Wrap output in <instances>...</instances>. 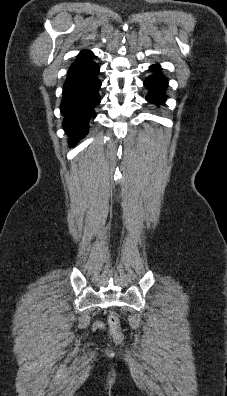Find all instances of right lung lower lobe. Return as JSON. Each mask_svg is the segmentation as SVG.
Returning <instances> with one entry per match:
<instances>
[{
	"instance_id": "1",
	"label": "right lung lower lobe",
	"mask_w": 227,
	"mask_h": 396,
	"mask_svg": "<svg viewBox=\"0 0 227 396\" xmlns=\"http://www.w3.org/2000/svg\"><path fill=\"white\" fill-rule=\"evenodd\" d=\"M92 57L90 51L83 50L70 66L63 86L60 109L71 146L88 133L89 122L96 116L94 108L100 103V67Z\"/></svg>"
}]
</instances>
